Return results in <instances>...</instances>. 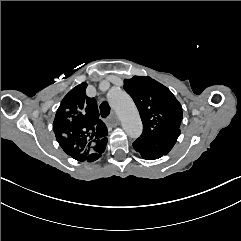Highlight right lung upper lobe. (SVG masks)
Masks as SVG:
<instances>
[{"mask_svg": "<svg viewBox=\"0 0 241 241\" xmlns=\"http://www.w3.org/2000/svg\"><path fill=\"white\" fill-rule=\"evenodd\" d=\"M87 84L74 87L62 100L53 122L62 149L80 162L101 157L107 144V127L99 118L96 100L86 96Z\"/></svg>", "mask_w": 241, "mask_h": 241, "instance_id": "1", "label": "right lung upper lobe"}]
</instances>
